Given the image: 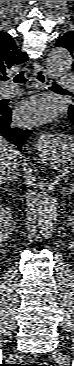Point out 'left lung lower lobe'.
<instances>
[{
	"instance_id": "0a47b994",
	"label": "left lung lower lobe",
	"mask_w": 74,
	"mask_h": 366,
	"mask_svg": "<svg viewBox=\"0 0 74 366\" xmlns=\"http://www.w3.org/2000/svg\"><path fill=\"white\" fill-rule=\"evenodd\" d=\"M68 113H69L71 123L74 125V104L71 105Z\"/></svg>"
}]
</instances>
